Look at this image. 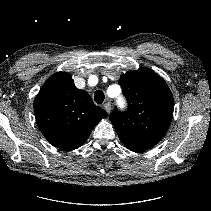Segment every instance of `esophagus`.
I'll use <instances>...</instances> for the list:
<instances>
[{
	"label": "esophagus",
	"mask_w": 211,
	"mask_h": 211,
	"mask_svg": "<svg viewBox=\"0 0 211 211\" xmlns=\"http://www.w3.org/2000/svg\"><path fill=\"white\" fill-rule=\"evenodd\" d=\"M103 107H104V109H105V111H106L107 113H110V111H111V104H110L109 102H106V103L103 105Z\"/></svg>",
	"instance_id": "34e87169"
}]
</instances>
